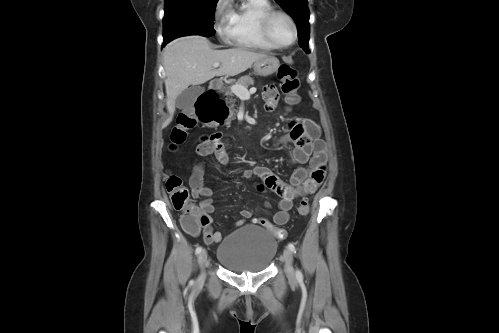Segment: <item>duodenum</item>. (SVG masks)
<instances>
[{
    "label": "duodenum",
    "mask_w": 499,
    "mask_h": 333,
    "mask_svg": "<svg viewBox=\"0 0 499 333\" xmlns=\"http://www.w3.org/2000/svg\"><path fill=\"white\" fill-rule=\"evenodd\" d=\"M218 85H219L218 82H213L210 85L209 90L198 99V102H197V112H198V114L201 117H207V118H210V119L214 118L213 117L214 113H215V111H214L215 110L214 109V105H213V103H211L210 101H208V99H207V93L208 92H214L215 93V91L218 88Z\"/></svg>",
    "instance_id": "1"
}]
</instances>
